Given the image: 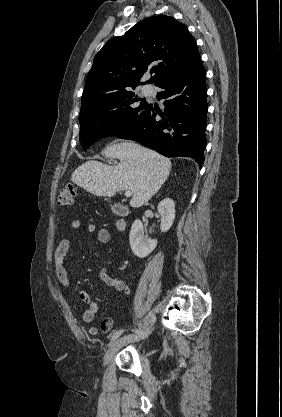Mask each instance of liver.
I'll use <instances>...</instances> for the list:
<instances>
[{
    "label": "liver",
    "mask_w": 282,
    "mask_h": 417,
    "mask_svg": "<svg viewBox=\"0 0 282 417\" xmlns=\"http://www.w3.org/2000/svg\"><path fill=\"white\" fill-rule=\"evenodd\" d=\"M105 154L119 158V164L109 166L99 160H86L72 172V182L96 196H114L118 190H132L130 206L134 209L158 192L172 166L170 158L136 142H116L107 146Z\"/></svg>",
    "instance_id": "obj_1"
}]
</instances>
